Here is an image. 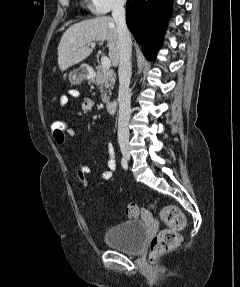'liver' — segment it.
<instances>
[{
    "mask_svg": "<svg viewBox=\"0 0 240 287\" xmlns=\"http://www.w3.org/2000/svg\"><path fill=\"white\" fill-rule=\"evenodd\" d=\"M107 41L109 57L114 66L119 63L117 26L110 16H100L70 26L58 46V66L61 71L85 60L93 51L90 44Z\"/></svg>",
    "mask_w": 240,
    "mask_h": 287,
    "instance_id": "6515ba94",
    "label": "liver"
}]
</instances>
